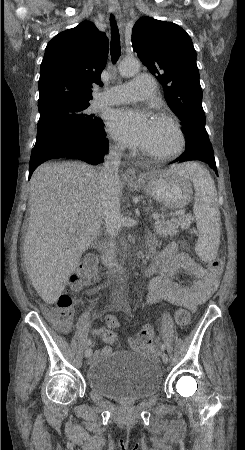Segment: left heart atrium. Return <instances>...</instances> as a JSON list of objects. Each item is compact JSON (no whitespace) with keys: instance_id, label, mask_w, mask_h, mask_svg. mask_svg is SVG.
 <instances>
[{"instance_id":"1","label":"left heart atrium","mask_w":245,"mask_h":450,"mask_svg":"<svg viewBox=\"0 0 245 450\" xmlns=\"http://www.w3.org/2000/svg\"><path fill=\"white\" fill-rule=\"evenodd\" d=\"M109 132L132 149H143L152 129V120L142 110L122 107L113 110L108 116Z\"/></svg>"}]
</instances>
